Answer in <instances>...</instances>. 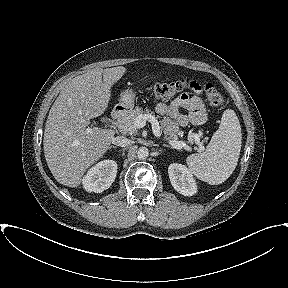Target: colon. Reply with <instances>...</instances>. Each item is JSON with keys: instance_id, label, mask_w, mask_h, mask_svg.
Here are the masks:
<instances>
[{"instance_id": "5ec220e1", "label": "colon", "mask_w": 288, "mask_h": 288, "mask_svg": "<svg viewBox=\"0 0 288 288\" xmlns=\"http://www.w3.org/2000/svg\"><path fill=\"white\" fill-rule=\"evenodd\" d=\"M196 82L191 79H182L173 82H162L150 84L148 90L151 95L162 98L169 99L172 98L188 88H193ZM206 99L211 106H221L224 102L222 94L215 88L212 83H206L203 86Z\"/></svg>"}]
</instances>
